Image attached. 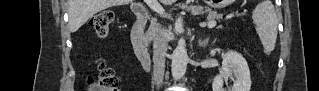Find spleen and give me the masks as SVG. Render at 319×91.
<instances>
[{"mask_svg": "<svg viewBox=\"0 0 319 91\" xmlns=\"http://www.w3.org/2000/svg\"><path fill=\"white\" fill-rule=\"evenodd\" d=\"M256 31L261 40L265 54H270L275 48L277 39L278 17L270 0L259 3L252 13Z\"/></svg>", "mask_w": 319, "mask_h": 91, "instance_id": "obj_1", "label": "spleen"}]
</instances>
